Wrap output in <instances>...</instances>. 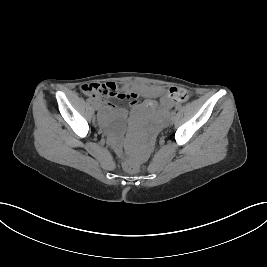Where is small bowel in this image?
<instances>
[{
    "mask_svg": "<svg viewBox=\"0 0 267 267\" xmlns=\"http://www.w3.org/2000/svg\"><path fill=\"white\" fill-rule=\"evenodd\" d=\"M109 86L116 87L114 84H107ZM87 85L82 86V90L85 92L87 91ZM130 90V94L132 97L131 106L133 108L139 107L138 101L136 98L138 96L147 97L149 100L146 101L142 106L146 109L149 113H155L158 108H160L162 113H166L169 109L173 108L176 105V102L171 96V90H167L161 86H154V85H145V84H134L131 86H127ZM93 97V101L98 105H101L104 108H109L110 104L107 103L105 100L97 97ZM159 98V104L155 99ZM120 112H124L122 109H118Z\"/></svg>",
    "mask_w": 267,
    "mask_h": 267,
    "instance_id": "1",
    "label": "small bowel"
}]
</instances>
